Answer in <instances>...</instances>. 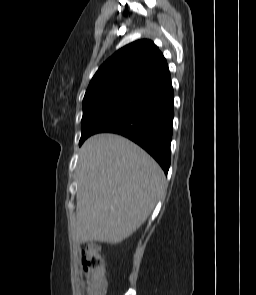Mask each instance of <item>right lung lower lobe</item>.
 <instances>
[{
    "mask_svg": "<svg viewBox=\"0 0 256 295\" xmlns=\"http://www.w3.org/2000/svg\"><path fill=\"white\" fill-rule=\"evenodd\" d=\"M173 117L174 92L168 71L137 94L96 133L112 132L129 138L145 149L167 173Z\"/></svg>",
    "mask_w": 256,
    "mask_h": 295,
    "instance_id": "1",
    "label": "right lung lower lobe"
}]
</instances>
